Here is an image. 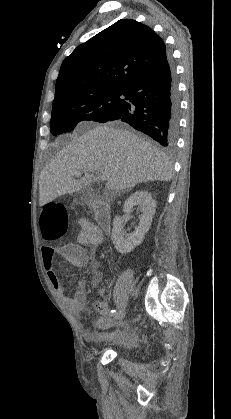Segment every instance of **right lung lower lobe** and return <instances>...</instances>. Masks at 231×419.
<instances>
[{
    "label": "right lung lower lobe",
    "mask_w": 231,
    "mask_h": 419,
    "mask_svg": "<svg viewBox=\"0 0 231 419\" xmlns=\"http://www.w3.org/2000/svg\"><path fill=\"white\" fill-rule=\"evenodd\" d=\"M120 107L105 121L121 120L172 147L178 131L179 95L168 59L124 89Z\"/></svg>",
    "instance_id": "obj_1"
}]
</instances>
